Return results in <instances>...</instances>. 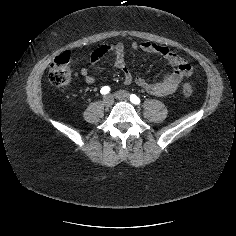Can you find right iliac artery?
<instances>
[{"mask_svg": "<svg viewBox=\"0 0 236 236\" xmlns=\"http://www.w3.org/2000/svg\"><path fill=\"white\" fill-rule=\"evenodd\" d=\"M101 94L106 95L110 92V87L109 86H104L100 90Z\"/></svg>", "mask_w": 236, "mask_h": 236, "instance_id": "obj_1", "label": "right iliac artery"}]
</instances>
